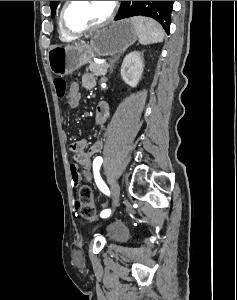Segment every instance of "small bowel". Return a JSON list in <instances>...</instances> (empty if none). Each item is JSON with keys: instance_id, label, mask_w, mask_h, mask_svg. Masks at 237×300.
Wrapping results in <instances>:
<instances>
[{"instance_id": "obj_1", "label": "small bowel", "mask_w": 237, "mask_h": 300, "mask_svg": "<svg viewBox=\"0 0 237 300\" xmlns=\"http://www.w3.org/2000/svg\"><path fill=\"white\" fill-rule=\"evenodd\" d=\"M82 86L84 88H93L96 84L95 77L90 74H84L82 77ZM79 92V84L72 83L69 88V93L75 95ZM109 117V107L106 102H100L97 105L95 112L94 123L96 126H102L105 124ZM87 148V140L81 139L70 144V150L74 153L75 162L70 165V171L72 176L77 175L78 180L80 176L83 175L88 181L91 180V170H92V157L100 153L102 150V142L96 140L90 147ZM80 208L79 204H75V209ZM90 220V219H89Z\"/></svg>"}]
</instances>
